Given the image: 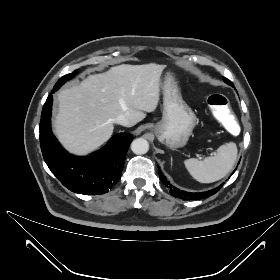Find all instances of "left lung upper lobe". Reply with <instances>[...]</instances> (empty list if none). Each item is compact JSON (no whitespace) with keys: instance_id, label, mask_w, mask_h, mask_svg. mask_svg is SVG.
Returning a JSON list of instances; mask_svg holds the SVG:
<instances>
[{"instance_id":"left-lung-upper-lobe-1","label":"left lung upper lobe","mask_w":280,"mask_h":280,"mask_svg":"<svg viewBox=\"0 0 280 280\" xmlns=\"http://www.w3.org/2000/svg\"><path fill=\"white\" fill-rule=\"evenodd\" d=\"M223 80H224L228 85L233 86V84L231 83V81L228 80L227 78L223 77Z\"/></svg>"}]
</instances>
